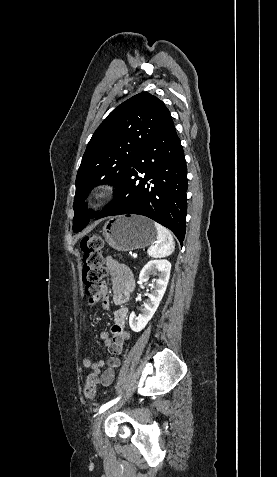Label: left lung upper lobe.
<instances>
[{"label": "left lung upper lobe", "instance_id": "obj_1", "mask_svg": "<svg viewBox=\"0 0 277 477\" xmlns=\"http://www.w3.org/2000/svg\"><path fill=\"white\" fill-rule=\"evenodd\" d=\"M165 104L157 97L139 93L116 107L100 124L83 155L76 177L74 232L81 231L97 213L87 212L84 200L94 186L117 188L142 148L170 121Z\"/></svg>", "mask_w": 277, "mask_h": 477}]
</instances>
